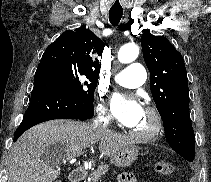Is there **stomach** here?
<instances>
[{
	"instance_id": "1",
	"label": "stomach",
	"mask_w": 211,
	"mask_h": 182,
	"mask_svg": "<svg viewBox=\"0 0 211 182\" xmlns=\"http://www.w3.org/2000/svg\"><path fill=\"white\" fill-rule=\"evenodd\" d=\"M138 156V147L128 145L119 149L112 157L111 163L117 167L130 166Z\"/></svg>"
}]
</instances>
